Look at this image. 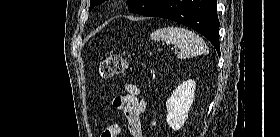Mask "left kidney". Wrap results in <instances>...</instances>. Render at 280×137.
<instances>
[{
    "label": "left kidney",
    "instance_id": "1",
    "mask_svg": "<svg viewBox=\"0 0 280 137\" xmlns=\"http://www.w3.org/2000/svg\"><path fill=\"white\" fill-rule=\"evenodd\" d=\"M195 88V81H183L167 99L166 108L168 114L166 121L174 131L179 130L188 117V112L194 99Z\"/></svg>",
    "mask_w": 280,
    "mask_h": 137
}]
</instances>
